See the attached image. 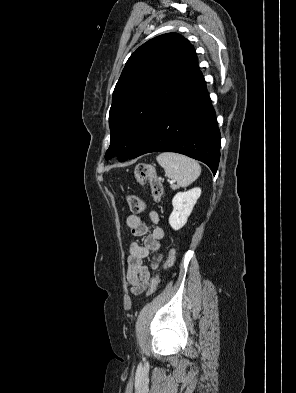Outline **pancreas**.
<instances>
[{
	"instance_id": "cf45deb5",
	"label": "pancreas",
	"mask_w": 296,
	"mask_h": 393,
	"mask_svg": "<svg viewBox=\"0 0 296 393\" xmlns=\"http://www.w3.org/2000/svg\"><path fill=\"white\" fill-rule=\"evenodd\" d=\"M171 187H172L173 189H176V186H174V185H172Z\"/></svg>"
}]
</instances>
